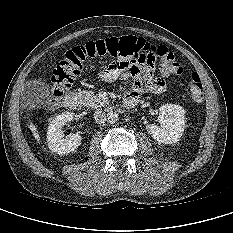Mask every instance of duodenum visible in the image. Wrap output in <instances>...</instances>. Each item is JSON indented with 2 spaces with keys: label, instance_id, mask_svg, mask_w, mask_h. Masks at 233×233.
Here are the masks:
<instances>
[{
  "label": "duodenum",
  "instance_id": "duodenum-1",
  "mask_svg": "<svg viewBox=\"0 0 233 233\" xmlns=\"http://www.w3.org/2000/svg\"><path fill=\"white\" fill-rule=\"evenodd\" d=\"M138 102V96L134 94H128L124 99V105L126 107H134ZM64 105L71 109H79L81 107V100L74 92H69L63 101Z\"/></svg>",
  "mask_w": 233,
  "mask_h": 233
}]
</instances>
